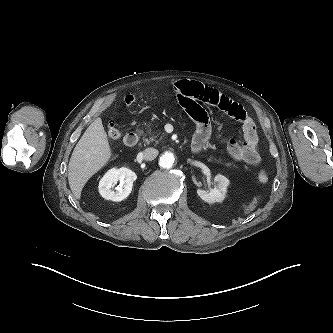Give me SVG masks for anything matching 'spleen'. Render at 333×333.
Returning <instances> with one entry per match:
<instances>
[{"label": "spleen", "instance_id": "spleen-1", "mask_svg": "<svg viewBox=\"0 0 333 333\" xmlns=\"http://www.w3.org/2000/svg\"><path fill=\"white\" fill-rule=\"evenodd\" d=\"M254 209V205H250L249 209L246 212L252 211Z\"/></svg>", "mask_w": 333, "mask_h": 333}]
</instances>
